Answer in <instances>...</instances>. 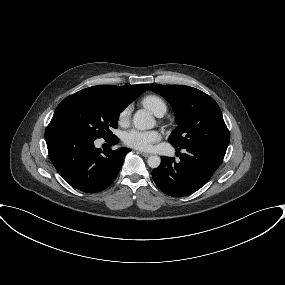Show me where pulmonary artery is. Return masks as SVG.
Wrapping results in <instances>:
<instances>
[{
	"label": "pulmonary artery",
	"mask_w": 285,
	"mask_h": 285,
	"mask_svg": "<svg viewBox=\"0 0 285 285\" xmlns=\"http://www.w3.org/2000/svg\"><path fill=\"white\" fill-rule=\"evenodd\" d=\"M163 115H164V114H158L157 116H158V117H161V116H163Z\"/></svg>",
	"instance_id": "e3ab8cb5"
}]
</instances>
